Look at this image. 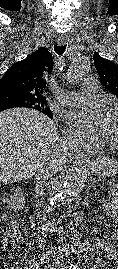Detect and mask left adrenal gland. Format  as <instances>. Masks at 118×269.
I'll list each match as a JSON object with an SVG mask.
<instances>
[{
  "label": "left adrenal gland",
  "mask_w": 118,
  "mask_h": 269,
  "mask_svg": "<svg viewBox=\"0 0 118 269\" xmlns=\"http://www.w3.org/2000/svg\"><path fill=\"white\" fill-rule=\"evenodd\" d=\"M92 187H94L95 186V181H93V183H92V185H91Z\"/></svg>",
  "instance_id": "a2214340"
}]
</instances>
